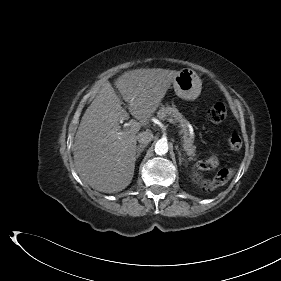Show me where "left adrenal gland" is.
Here are the masks:
<instances>
[{"label":"left adrenal gland","instance_id":"1","mask_svg":"<svg viewBox=\"0 0 281 281\" xmlns=\"http://www.w3.org/2000/svg\"><path fill=\"white\" fill-rule=\"evenodd\" d=\"M177 150H178V155H179V165H181L182 162H183V161L186 162V160H185L184 158H182V155H181V152L179 151V149H177Z\"/></svg>","mask_w":281,"mask_h":281}]
</instances>
